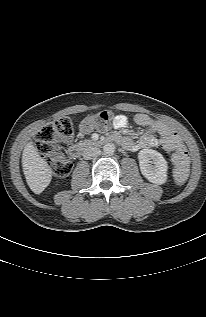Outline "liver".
Here are the masks:
<instances>
[{"mask_svg": "<svg viewBox=\"0 0 206 317\" xmlns=\"http://www.w3.org/2000/svg\"><path fill=\"white\" fill-rule=\"evenodd\" d=\"M22 167L29 188L40 194L50 184L52 170L48 163L41 158L32 141L24 147L22 153Z\"/></svg>", "mask_w": 206, "mask_h": 317, "instance_id": "1", "label": "liver"}]
</instances>
